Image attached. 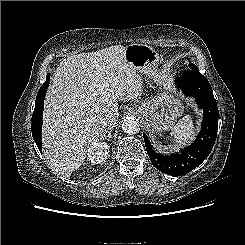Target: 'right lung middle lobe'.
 <instances>
[{
  "instance_id": "right-lung-middle-lobe-1",
  "label": "right lung middle lobe",
  "mask_w": 245,
  "mask_h": 245,
  "mask_svg": "<svg viewBox=\"0 0 245 245\" xmlns=\"http://www.w3.org/2000/svg\"><path fill=\"white\" fill-rule=\"evenodd\" d=\"M49 82H50V74H47L46 81L43 83V85L41 86L39 90V93L37 94L36 103L44 99L47 88L49 86Z\"/></svg>"
}]
</instances>
